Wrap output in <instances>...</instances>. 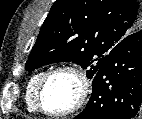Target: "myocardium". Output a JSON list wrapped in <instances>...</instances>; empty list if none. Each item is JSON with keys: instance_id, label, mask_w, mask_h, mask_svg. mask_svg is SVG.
I'll use <instances>...</instances> for the list:
<instances>
[{"instance_id": "f54148a6", "label": "myocardium", "mask_w": 142, "mask_h": 119, "mask_svg": "<svg viewBox=\"0 0 142 119\" xmlns=\"http://www.w3.org/2000/svg\"><path fill=\"white\" fill-rule=\"evenodd\" d=\"M59 73H71L72 75H74L79 83V92L75 103L70 108L64 111L55 112L45 108L43 103V93L49 80L53 76ZM90 92H91V81L87 72L80 66L73 64H63L46 72L43 79L41 80L36 93L37 108L39 111H41L42 113L48 116L67 117L75 114L77 111L83 108V106L86 104L88 100Z\"/></svg>"}]
</instances>
